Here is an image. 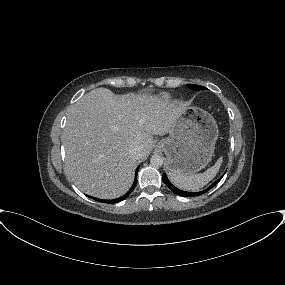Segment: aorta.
<instances>
[{"label":"aorta","mask_w":285,"mask_h":285,"mask_svg":"<svg viewBox=\"0 0 285 285\" xmlns=\"http://www.w3.org/2000/svg\"><path fill=\"white\" fill-rule=\"evenodd\" d=\"M163 158L160 155H153L150 159V163L153 167H161L163 165Z\"/></svg>","instance_id":"762f6f07"}]
</instances>
